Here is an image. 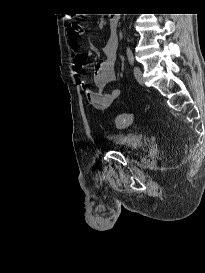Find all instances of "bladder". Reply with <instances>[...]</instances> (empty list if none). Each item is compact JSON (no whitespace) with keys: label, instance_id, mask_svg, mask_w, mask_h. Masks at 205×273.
I'll return each instance as SVG.
<instances>
[{"label":"bladder","instance_id":"bladder-1","mask_svg":"<svg viewBox=\"0 0 205 273\" xmlns=\"http://www.w3.org/2000/svg\"><path fill=\"white\" fill-rule=\"evenodd\" d=\"M111 144L129 152L139 151L144 144L143 138L131 133H114L108 136Z\"/></svg>","mask_w":205,"mask_h":273}]
</instances>
